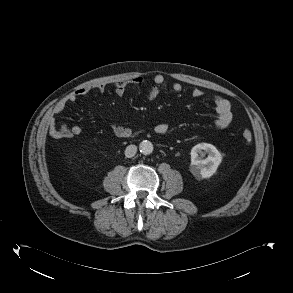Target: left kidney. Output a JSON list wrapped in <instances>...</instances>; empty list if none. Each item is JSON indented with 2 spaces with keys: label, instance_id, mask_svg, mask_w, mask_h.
Here are the masks:
<instances>
[{
  "label": "left kidney",
  "instance_id": "5707ae66",
  "mask_svg": "<svg viewBox=\"0 0 293 293\" xmlns=\"http://www.w3.org/2000/svg\"><path fill=\"white\" fill-rule=\"evenodd\" d=\"M204 153L208 154V157L202 159ZM191 173L196 178H209L216 171L222 161L221 153L215 146L208 143H199L191 149ZM200 154V157H199Z\"/></svg>",
  "mask_w": 293,
  "mask_h": 293
}]
</instances>
